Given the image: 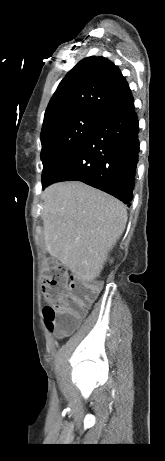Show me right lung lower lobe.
I'll list each match as a JSON object with an SVG mask.
<instances>
[{
    "mask_svg": "<svg viewBox=\"0 0 165 461\" xmlns=\"http://www.w3.org/2000/svg\"><path fill=\"white\" fill-rule=\"evenodd\" d=\"M138 133L134 103L108 115L61 164L43 189L54 182L77 180L130 206L140 151Z\"/></svg>",
    "mask_w": 165,
    "mask_h": 461,
    "instance_id": "1",
    "label": "right lung lower lobe"
}]
</instances>
